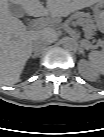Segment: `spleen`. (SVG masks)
<instances>
[{
    "instance_id": "obj_1",
    "label": "spleen",
    "mask_w": 104,
    "mask_h": 137,
    "mask_svg": "<svg viewBox=\"0 0 104 137\" xmlns=\"http://www.w3.org/2000/svg\"><path fill=\"white\" fill-rule=\"evenodd\" d=\"M90 64L94 67L103 66V54L99 51H92L88 55Z\"/></svg>"
}]
</instances>
